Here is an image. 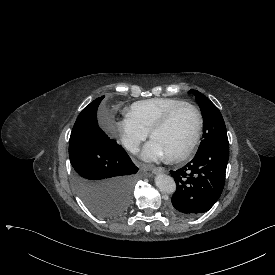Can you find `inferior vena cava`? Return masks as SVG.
Instances as JSON below:
<instances>
[{
    "instance_id": "602c4592",
    "label": "inferior vena cava",
    "mask_w": 275,
    "mask_h": 275,
    "mask_svg": "<svg viewBox=\"0 0 275 275\" xmlns=\"http://www.w3.org/2000/svg\"><path fill=\"white\" fill-rule=\"evenodd\" d=\"M122 143L124 147L129 150L131 153H138L139 152V142L130 139H123Z\"/></svg>"
}]
</instances>
